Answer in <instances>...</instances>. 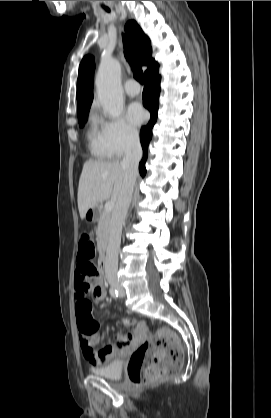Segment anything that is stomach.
<instances>
[{
	"mask_svg": "<svg viewBox=\"0 0 271 418\" xmlns=\"http://www.w3.org/2000/svg\"><path fill=\"white\" fill-rule=\"evenodd\" d=\"M99 208L98 206L90 208L85 213V219L89 222H94L98 219Z\"/></svg>",
	"mask_w": 271,
	"mask_h": 418,
	"instance_id": "obj_1",
	"label": "stomach"
}]
</instances>
